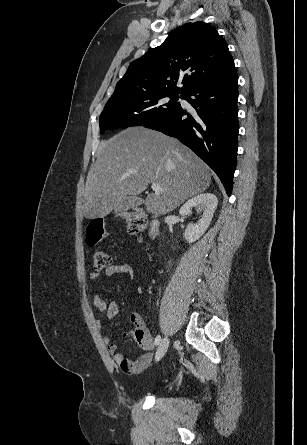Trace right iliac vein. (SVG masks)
I'll return each instance as SVG.
<instances>
[{
    "instance_id": "1",
    "label": "right iliac vein",
    "mask_w": 307,
    "mask_h": 445,
    "mask_svg": "<svg viewBox=\"0 0 307 445\" xmlns=\"http://www.w3.org/2000/svg\"><path fill=\"white\" fill-rule=\"evenodd\" d=\"M169 347V339L168 337H165L161 340L157 351H156V355H155V361H159L167 352V349Z\"/></svg>"
}]
</instances>
